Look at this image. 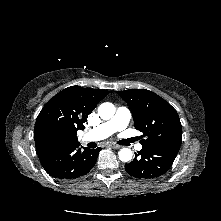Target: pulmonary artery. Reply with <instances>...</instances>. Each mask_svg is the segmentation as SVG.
I'll list each match as a JSON object with an SVG mask.
<instances>
[{
  "instance_id": "e3ab8cb5",
  "label": "pulmonary artery",
  "mask_w": 221,
  "mask_h": 221,
  "mask_svg": "<svg viewBox=\"0 0 221 221\" xmlns=\"http://www.w3.org/2000/svg\"><path fill=\"white\" fill-rule=\"evenodd\" d=\"M131 119V112L126 107H119L113 118L87 131L83 139L85 141H100L108 138L117 131L127 127ZM137 150L142 149V145H136Z\"/></svg>"
}]
</instances>
